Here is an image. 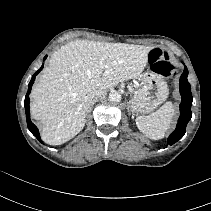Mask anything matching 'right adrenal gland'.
Listing matches in <instances>:
<instances>
[{
    "mask_svg": "<svg viewBox=\"0 0 211 211\" xmlns=\"http://www.w3.org/2000/svg\"><path fill=\"white\" fill-rule=\"evenodd\" d=\"M96 101H97V99L93 101L91 108L93 107V105L95 104ZM91 108H90L89 112L91 111Z\"/></svg>",
    "mask_w": 211,
    "mask_h": 211,
    "instance_id": "1",
    "label": "right adrenal gland"
}]
</instances>
